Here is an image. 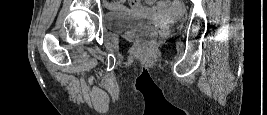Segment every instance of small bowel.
<instances>
[{
  "label": "small bowel",
  "instance_id": "obj_1",
  "mask_svg": "<svg viewBox=\"0 0 267 115\" xmlns=\"http://www.w3.org/2000/svg\"><path fill=\"white\" fill-rule=\"evenodd\" d=\"M147 3L149 4L148 6L138 1L131 2L129 7L123 6L120 2H113L111 5L123 12L144 16L162 15L168 12H178L180 10V6L176 2L158 1L153 3V1H147Z\"/></svg>",
  "mask_w": 267,
  "mask_h": 115
}]
</instances>
